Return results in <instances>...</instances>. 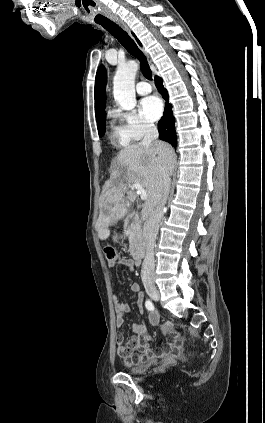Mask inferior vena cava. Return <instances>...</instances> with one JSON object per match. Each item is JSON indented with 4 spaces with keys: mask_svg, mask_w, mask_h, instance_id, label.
<instances>
[{
    "mask_svg": "<svg viewBox=\"0 0 265 423\" xmlns=\"http://www.w3.org/2000/svg\"><path fill=\"white\" fill-rule=\"evenodd\" d=\"M159 136L158 129L153 123H146L144 126V137L140 142L143 146H151L157 144L158 148H162V144L157 141ZM163 181L159 193V197L154 211L149 216V219L143 227V238L145 242L146 255L142 264L141 278L142 280L150 279L154 275L155 259L154 246L155 240L159 230V222L163 216V207L166 203L170 184L172 168L168 161H164L162 167Z\"/></svg>",
    "mask_w": 265,
    "mask_h": 423,
    "instance_id": "1",
    "label": "inferior vena cava"
}]
</instances>
